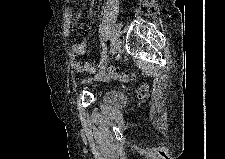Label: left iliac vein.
I'll list each match as a JSON object with an SVG mask.
<instances>
[{
  "label": "left iliac vein",
  "mask_w": 225,
  "mask_h": 159,
  "mask_svg": "<svg viewBox=\"0 0 225 159\" xmlns=\"http://www.w3.org/2000/svg\"><path fill=\"white\" fill-rule=\"evenodd\" d=\"M121 49V40L116 39L111 48V55L117 54Z\"/></svg>",
  "instance_id": "1"
}]
</instances>
